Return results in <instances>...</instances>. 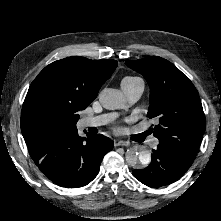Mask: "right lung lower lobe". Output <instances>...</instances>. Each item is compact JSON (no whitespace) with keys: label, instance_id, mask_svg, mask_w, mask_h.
I'll return each mask as SVG.
<instances>
[{"label":"right lung lower lobe","instance_id":"right-lung-lower-lobe-1","mask_svg":"<svg viewBox=\"0 0 221 221\" xmlns=\"http://www.w3.org/2000/svg\"><path fill=\"white\" fill-rule=\"evenodd\" d=\"M79 136L77 129L36 141L29 154L40 171L55 184L79 188L89 184L98 174L100 164L114 143L102 134Z\"/></svg>","mask_w":221,"mask_h":221}]
</instances>
